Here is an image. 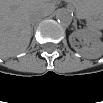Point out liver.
I'll list each match as a JSON object with an SVG mask.
<instances>
[{
    "instance_id": "obj_1",
    "label": "liver",
    "mask_w": 103,
    "mask_h": 103,
    "mask_svg": "<svg viewBox=\"0 0 103 103\" xmlns=\"http://www.w3.org/2000/svg\"><path fill=\"white\" fill-rule=\"evenodd\" d=\"M53 9L54 4L44 0L1 1V56L13 57L25 51L32 36L31 15L49 14Z\"/></svg>"
}]
</instances>
